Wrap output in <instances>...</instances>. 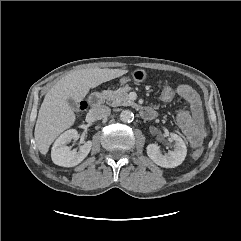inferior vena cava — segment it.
I'll list each match as a JSON object with an SVG mask.
<instances>
[{
    "mask_svg": "<svg viewBox=\"0 0 241 241\" xmlns=\"http://www.w3.org/2000/svg\"><path fill=\"white\" fill-rule=\"evenodd\" d=\"M110 113H111L110 108L105 105H101L91 109V114L95 119H98V120L106 119L110 115Z\"/></svg>",
    "mask_w": 241,
    "mask_h": 241,
    "instance_id": "obj_1",
    "label": "inferior vena cava"
}]
</instances>
